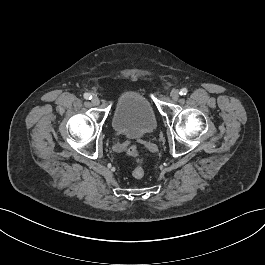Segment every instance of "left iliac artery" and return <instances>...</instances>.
<instances>
[{"label": "left iliac artery", "mask_w": 265, "mask_h": 265, "mask_svg": "<svg viewBox=\"0 0 265 265\" xmlns=\"http://www.w3.org/2000/svg\"><path fill=\"white\" fill-rule=\"evenodd\" d=\"M187 89L186 88H183V89H181V91H180V95H186L187 94Z\"/></svg>", "instance_id": "left-iliac-artery-1"}]
</instances>
